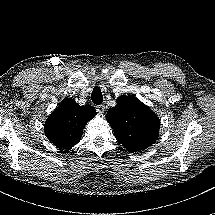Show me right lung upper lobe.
I'll return each instance as SVG.
<instances>
[{
    "label": "right lung upper lobe",
    "instance_id": "cb5924a9",
    "mask_svg": "<svg viewBox=\"0 0 215 215\" xmlns=\"http://www.w3.org/2000/svg\"><path fill=\"white\" fill-rule=\"evenodd\" d=\"M95 115L91 105L80 106L66 98L46 120L45 135L57 147L69 149L80 141L84 126Z\"/></svg>",
    "mask_w": 215,
    "mask_h": 215
}]
</instances>
